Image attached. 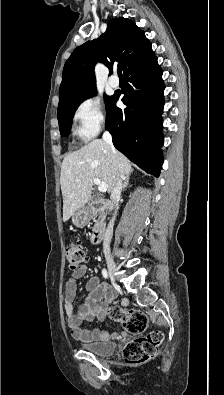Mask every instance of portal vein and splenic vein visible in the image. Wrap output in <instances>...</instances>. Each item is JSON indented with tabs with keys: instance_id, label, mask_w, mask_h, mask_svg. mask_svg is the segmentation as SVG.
I'll return each mask as SVG.
<instances>
[{
	"instance_id": "obj_1",
	"label": "portal vein and splenic vein",
	"mask_w": 224,
	"mask_h": 395,
	"mask_svg": "<svg viewBox=\"0 0 224 395\" xmlns=\"http://www.w3.org/2000/svg\"><path fill=\"white\" fill-rule=\"evenodd\" d=\"M93 181H94V183L98 186V190H99L100 192H106V191H107V188H108L107 183L101 181V180L98 179V178H95Z\"/></svg>"
}]
</instances>
